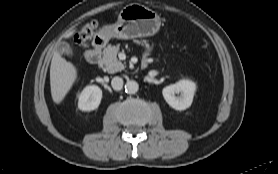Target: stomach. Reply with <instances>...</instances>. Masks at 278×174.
<instances>
[{
	"label": "stomach",
	"instance_id": "1",
	"mask_svg": "<svg viewBox=\"0 0 278 174\" xmlns=\"http://www.w3.org/2000/svg\"><path fill=\"white\" fill-rule=\"evenodd\" d=\"M160 24V17L155 11L133 3L121 10L115 24L103 27L100 35L107 40L112 37L125 40L148 37L158 32Z\"/></svg>",
	"mask_w": 278,
	"mask_h": 174
}]
</instances>
